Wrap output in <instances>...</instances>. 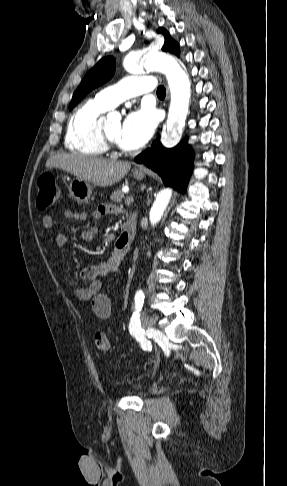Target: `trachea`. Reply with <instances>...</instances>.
Returning a JSON list of instances; mask_svg holds the SVG:
<instances>
[{
  "mask_svg": "<svg viewBox=\"0 0 287 486\" xmlns=\"http://www.w3.org/2000/svg\"><path fill=\"white\" fill-rule=\"evenodd\" d=\"M157 95L158 96H165L166 95V90L164 86H159L157 88Z\"/></svg>",
  "mask_w": 287,
  "mask_h": 486,
  "instance_id": "3493384b",
  "label": "trachea"
}]
</instances>
